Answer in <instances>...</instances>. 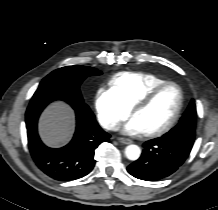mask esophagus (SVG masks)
I'll return each instance as SVG.
<instances>
[{
	"instance_id": "esophagus-1",
	"label": "esophagus",
	"mask_w": 218,
	"mask_h": 210,
	"mask_svg": "<svg viewBox=\"0 0 218 210\" xmlns=\"http://www.w3.org/2000/svg\"><path fill=\"white\" fill-rule=\"evenodd\" d=\"M117 140H118L120 143H122V144H130V143H132V140L127 139V138L119 137V138H117Z\"/></svg>"
}]
</instances>
